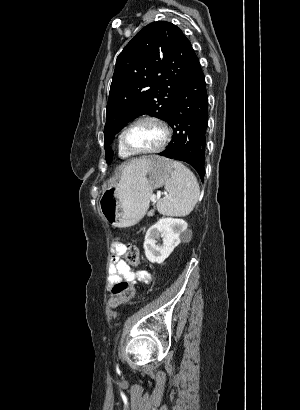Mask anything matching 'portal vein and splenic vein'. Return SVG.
Returning <instances> with one entry per match:
<instances>
[{"label": "portal vein and splenic vein", "mask_w": 300, "mask_h": 410, "mask_svg": "<svg viewBox=\"0 0 300 410\" xmlns=\"http://www.w3.org/2000/svg\"><path fill=\"white\" fill-rule=\"evenodd\" d=\"M150 199H151L152 201H155V200H156V195H155V194H152V195L150 196Z\"/></svg>", "instance_id": "1"}]
</instances>
